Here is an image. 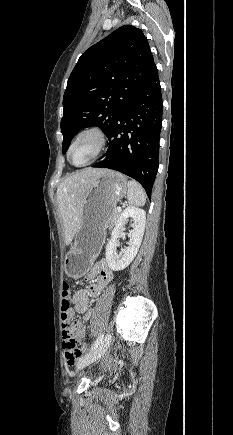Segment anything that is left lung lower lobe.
Listing matches in <instances>:
<instances>
[{"label":"left lung lower lobe","mask_w":233,"mask_h":435,"mask_svg":"<svg viewBox=\"0 0 233 435\" xmlns=\"http://www.w3.org/2000/svg\"><path fill=\"white\" fill-rule=\"evenodd\" d=\"M162 96L157 68L138 95L117 116L108 150L93 167L119 171L137 180L151 197L158 169Z\"/></svg>","instance_id":"1"}]
</instances>
